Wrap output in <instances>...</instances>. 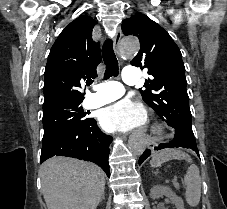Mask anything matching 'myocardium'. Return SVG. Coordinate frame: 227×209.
Wrapping results in <instances>:
<instances>
[{
	"mask_svg": "<svg viewBox=\"0 0 227 209\" xmlns=\"http://www.w3.org/2000/svg\"><path fill=\"white\" fill-rule=\"evenodd\" d=\"M167 128L160 122H155L149 129L148 136L151 138H159L167 135Z\"/></svg>",
	"mask_w": 227,
	"mask_h": 209,
	"instance_id": "obj_1",
	"label": "myocardium"
}]
</instances>
